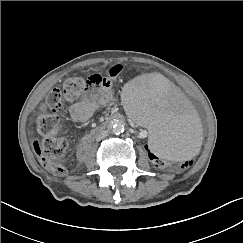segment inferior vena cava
<instances>
[{"mask_svg": "<svg viewBox=\"0 0 243 243\" xmlns=\"http://www.w3.org/2000/svg\"><path fill=\"white\" fill-rule=\"evenodd\" d=\"M107 136H108V131H101L100 133H98L96 135V141H101L102 139H104Z\"/></svg>", "mask_w": 243, "mask_h": 243, "instance_id": "obj_1", "label": "inferior vena cava"}]
</instances>
